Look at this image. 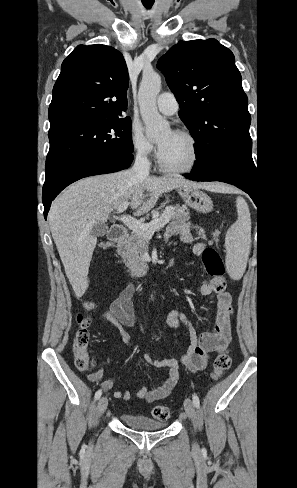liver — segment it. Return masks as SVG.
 Masks as SVG:
<instances>
[{
    "label": "liver",
    "mask_w": 297,
    "mask_h": 488,
    "mask_svg": "<svg viewBox=\"0 0 297 488\" xmlns=\"http://www.w3.org/2000/svg\"><path fill=\"white\" fill-rule=\"evenodd\" d=\"M180 187L217 189L177 176L141 177L133 170L98 175L70 185L51 205L48 222L65 273L77 298L88 288V272L97 237L92 229L130 201L135 215L148 213L163 193Z\"/></svg>",
    "instance_id": "liver-1"
}]
</instances>
